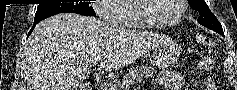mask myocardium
<instances>
[{
	"label": "myocardium",
	"mask_w": 237,
	"mask_h": 90,
	"mask_svg": "<svg viewBox=\"0 0 237 90\" xmlns=\"http://www.w3.org/2000/svg\"><path fill=\"white\" fill-rule=\"evenodd\" d=\"M144 1H149V0L134 1V4L137 9V17L141 21V23L144 25L145 28H157V29H160V28L169 29V28L176 27L182 21V18L186 12V6L184 5V3H188V0H176L175 3L178 7V14L175 20L172 22L159 24L155 21H152L151 19H149L142 13L141 3H144Z\"/></svg>",
	"instance_id": "myocardium-1"
}]
</instances>
